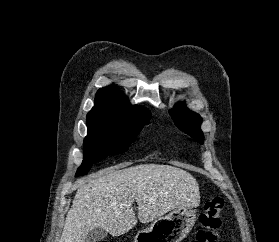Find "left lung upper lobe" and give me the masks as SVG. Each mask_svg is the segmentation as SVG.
Returning a JSON list of instances; mask_svg holds the SVG:
<instances>
[{
    "mask_svg": "<svg viewBox=\"0 0 279 242\" xmlns=\"http://www.w3.org/2000/svg\"><path fill=\"white\" fill-rule=\"evenodd\" d=\"M170 115L177 127L197 141L204 142V137L200 130L202 118L197 113L188 110L183 104H177L174 109L170 110Z\"/></svg>",
    "mask_w": 279,
    "mask_h": 242,
    "instance_id": "1",
    "label": "left lung upper lobe"
}]
</instances>
